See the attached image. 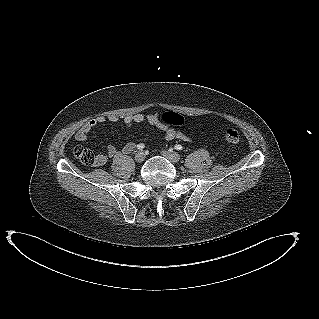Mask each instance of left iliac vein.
I'll list each match as a JSON object with an SVG mask.
<instances>
[{"mask_svg":"<svg viewBox=\"0 0 319 319\" xmlns=\"http://www.w3.org/2000/svg\"><path fill=\"white\" fill-rule=\"evenodd\" d=\"M162 155L173 163H177L181 159V156L178 153L172 151H162Z\"/></svg>","mask_w":319,"mask_h":319,"instance_id":"1","label":"left iliac vein"}]
</instances>
